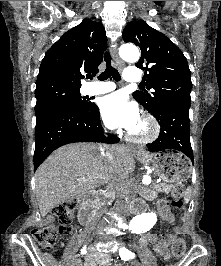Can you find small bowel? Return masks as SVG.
<instances>
[{
    "mask_svg": "<svg viewBox=\"0 0 221 266\" xmlns=\"http://www.w3.org/2000/svg\"><path fill=\"white\" fill-rule=\"evenodd\" d=\"M181 228L177 227L176 232H180ZM174 237V235H172ZM142 245L147 242L154 244L155 252L164 259L169 258V251L167 245H162L159 243L158 238L155 234L147 233L140 240ZM86 266H112L111 258L107 254H91L86 260Z\"/></svg>",
    "mask_w": 221,
    "mask_h": 266,
    "instance_id": "small-bowel-1",
    "label": "small bowel"
}]
</instances>
